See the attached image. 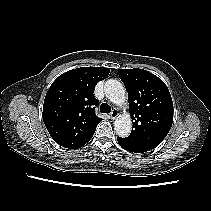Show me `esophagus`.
<instances>
[{
    "mask_svg": "<svg viewBox=\"0 0 211 211\" xmlns=\"http://www.w3.org/2000/svg\"><path fill=\"white\" fill-rule=\"evenodd\" d=\"M118 114H119L118 110H117V109H113V110L111 111V113H110V118H111L112 120H114L115 118H117Z\"/></svg>",
    "mask_w": 211,
    "mask_h": 211,
    "instance_id": "1",
    "label": "esophagus"
}]
</instances>
